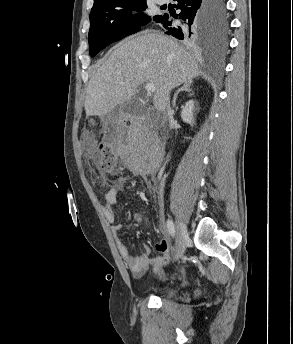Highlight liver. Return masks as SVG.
Here are the masks:
<instances>
[{
    "mask_svg": "<svg viewBox=\"0 0 293 344\" xmlns=\"http://www.w3.org/2000/svg\"><path fill=\"white\" fill-rule=\"evenodd\" d=\"M198 64L176 40L145 31L118 44L90 79L86 116L102 117L136 96L143 83H153V104L164 112L169 93L200 75Z\"/></svg>",
    "mask_w": 293,
    "mask_h": 344,
    "instance_id": "obj_1",
    "label": "liver"
}]
</instances>
